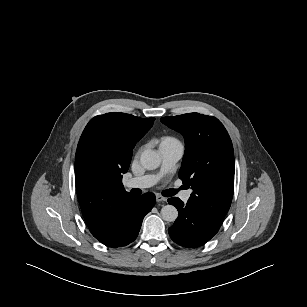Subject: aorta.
I'll return each instance as SVG.
<instances>
[{
	"label": "aorta",
	"mask_w": 307,
	"mask_h": 307,
	"mask_svg": "<svg viewBox=\"0 0 307 307\" xmlns=\"http://www.w3.org/2000/svg\"><path fill=\"white\" fill-rule=\"evenodd\" d=\"M161 158L159 154L151 149L142 152L140 156V164L147 170H154L159 167ZM161 217L167 222H174L178 217L176 207L172 205H165L161 209Z\"/></svg>",
	"instance_id": "1"
}]
</instances>
